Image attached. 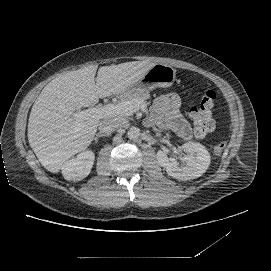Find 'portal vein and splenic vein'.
<instances>
[{"label":"portal vein and splenic vein","mask_w":271,"mask_h":271,"mask_svg":"<svg viewBox=\"0 0 271 271\" xmlns=\"http://www.w3.org/2000/svg\"><path fill=\"white\" fill-rule=\"evenodd\" d=\"M141 109L143 112L147 110V105L143 100L122 101L118 104H107L100 107L77 112L75 116L78 119L86 120L89 118L102 119L104 117L130 116L134 112Z\"/></svg>","instance_id":"obj_1"}]
</instances>
